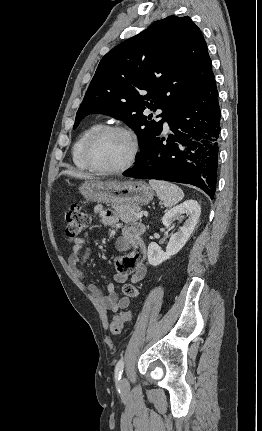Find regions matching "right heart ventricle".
I'll return each instance as SVG.
<instances>
[{
  "mask_svg": "<svg viewBox=\"0 0 262 431\" xmlns=\"http://www.w3.org/2000/svg\"><path fill=\"white\" fill-rule=\"evenodd\" d=\"M101 127H102V124L100 122H96L92 124L87 129H85L74 142L71 150V158H72L73 165L78 170L91 171V169L88 167V165L84 160V156H83L84 148L88 138Z\"/></svg>",
  "mask_w": 262,
  "mask_h": 431,
  "instance_id": "obj_1",
  "label": "right heart ventricle"
}]
</instances>
